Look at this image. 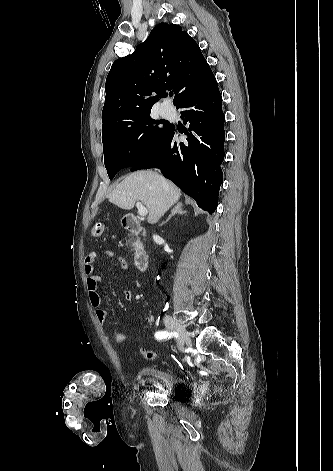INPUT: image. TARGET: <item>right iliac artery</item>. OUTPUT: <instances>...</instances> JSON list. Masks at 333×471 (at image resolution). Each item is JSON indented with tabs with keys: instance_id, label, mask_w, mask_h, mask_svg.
<instances>
[{
	"instance_id": "right-iliac-artery-1",
	"label": "right iliac artery",
	"mask_w": 333,
	"mask_h": 471,
	"mask_svg": "<svg viewBox=\"0 0 333 471\" xmlns=\"http://www.w3.org/2000/svg\"><path fill=\"white\" fill-rule=\"evenodd\" d=\"M173 333L168 331V330H162V331H158L155 333V338L157 340H161V339H170L172 337Z\"/></svg>"
}]
</instances>
